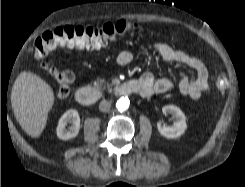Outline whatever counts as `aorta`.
Instances as JSON below:
<instances>
[{"mask_svg": "<svg viewBox=\"0 0 245 187\" xmlns=\"http://www.w3.org/2000/svg\"><path fill=\"white\" fill-rule=\"evenodd\" d=\"M129 104H130V101L128 98L121 97L116 102V108L118 109V111L123 112L128 109Z\"/></svg>", "mask_w": 245, "mask_h": 187, "instance_id": "1", "label": "aorta"}]
</instances>
